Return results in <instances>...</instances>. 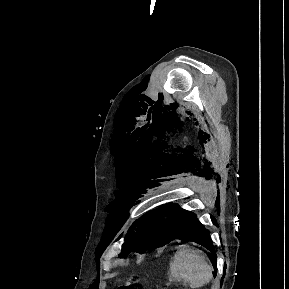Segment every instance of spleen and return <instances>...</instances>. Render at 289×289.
<instances>
[{"instance_id": "obj_1", "label": "spleen", "mask_w": 289, "mask_h": 289, "mask_svg": "<svg viewBox=\"0 0 289 289\" xmlns=\"http://www.w3.org/2000/svg\"><path fill=\"white\" fill-rule=\"evenodd\" d=\"M212 277V267L199 250L181 246L170 262V282L179 281L190 289H198L207 285Z\"/></svg>"}]
</instances>
